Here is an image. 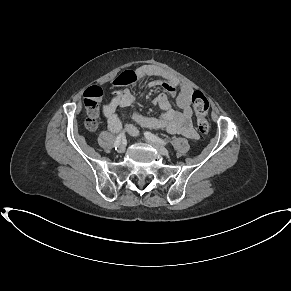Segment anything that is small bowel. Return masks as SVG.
I'll use <instances>...</instances> for the list:
<instances>
[{"instance_id": "small-bowel-1", "label": "small bowel", "mask_w": 291, "mask_h": 291, "mask_svg": "<svg viewBox=\"0 0 291 291\" xmlns=\"http://www.w3.org/2000/svg\"><path fill=\"white\" fill-rule=\"evenodd\" d=\"M134 75L135 80L144 77L161 78V81H153L151 85L161 84L168 94L175 97L179 109H173L168 94L161 93L154 99V104L161 110L159 117L147 116L141 111H136L133 114V119L146 128L163 129L171 134H182L189 139H197L198 134L191 123L193 116L191 107L193 88L186 83L180 82L177 78L154 64L140 66ZM133 100L134 96L130 89L118 88L111 100L102 105L101 112L110 132L117 133L124 128L131 136L139 135V131L135 126L124 123L117 114V108L129 107Z\"/></svg>"}]
</instances>
